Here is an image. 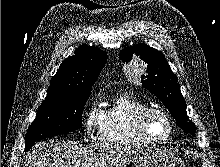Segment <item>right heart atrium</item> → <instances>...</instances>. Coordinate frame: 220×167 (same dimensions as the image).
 Masks as SVG:
<instances>
[{
    "label": "right heart atrium",
    "mask_w": 220,
    "mask_h": 167,
    "mask_svg": "<svg viewBox=\"0 0 220 167\" xmlns=\"http://www.w3.org/2000/svg\"><path fill=\"white\" fill-rule=\"evenodd\" d=\"M102 117L103 110L99 107L97 99H93L84 120V131L87 136H93L99 133Z\"/></svg>",
    "instance_id": "right-heart-atrium-1"
}]
</instances>
